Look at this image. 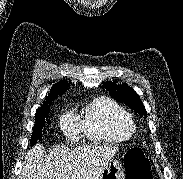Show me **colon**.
I'll return each instance as SVG.
<instances>
[{"label":"colon","instance_id":"5ec220e1","mask_svg":"<svg viewBox=\"0 0 183 179\" xmlns=\"http://www.w3.org/2000/svg\"><path fill=\"white\" fill-rule=\"evenodd\" d=\"M124 164L126 179H152L153 177L152 166L139 148H132L127 152Z\"/></svg>","mask_w":183,"mask_h":179}]
</instances>
